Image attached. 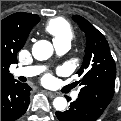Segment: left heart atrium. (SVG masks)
Listing matches in <instances>:
<instances>
[{
  "label": "left heart atrium",
  "mask_w": 121,
  "mask_h": 121,
  "mask_svg": "<svg viewBox=\"0 0 121 121\" xmlns=\"http://www.w3.org/2000/svg\"><path fill=\"white\" fill-rule=\"evenodd\" d=\"M51 80H52V77H51L50 75H46V76L44 77V82H46V83L51 82Z\"/></svg>",
  "instance_id": "obj_1"
}]
</instances>
